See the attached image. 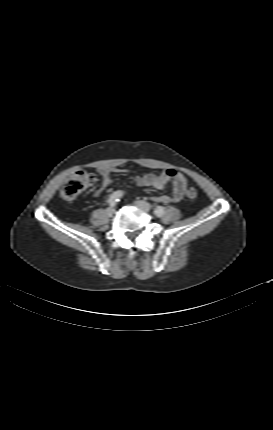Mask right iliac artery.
Returning <instances> with one entry per match:
<instances>
[{
  "instance_id": "right-iliac-artery-1",
  "label": "right iliac artery",
  "mask_w": 273,
  "mask_h": 430,
  "mask_svg": "<svg viewBox=\"0 0 273 430\" xmlns=\"http://www.w3.org/2000/svg\"><path fill=\"white\" fill-rule=\"evenodd\" d=\"M122 197V191H115L114 193H112L108 199V204L110 206H115L117 204V202L120 201V198Z\"/></svg>"
}]
</instances>
